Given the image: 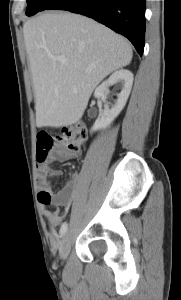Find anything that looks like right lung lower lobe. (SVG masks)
<instances>
[{"label": "right lung lower lobe", "mask_w": 181, "mask_h": 300, "mask_svg": "<svg viewBox=\"0 0 181 300\" xmlns=\"http://www.w3.org/2000/svg\"><path fill=\"white\" fill-rule=\"evenodd\" d=\"M146 0H57L48 9L79 13L127 37L141 56L145 44Z\"/></svg>", "instance_id": "right-lung-lower-lobe-1"}]
</instances>
